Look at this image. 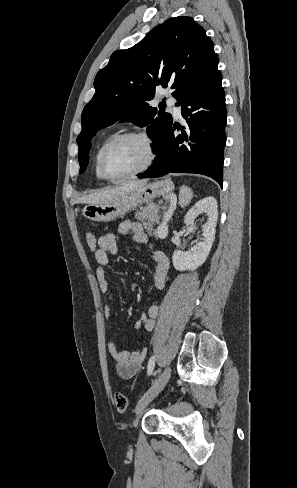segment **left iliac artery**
Wrapping results in <instances>:
<instances>
[{
  "mask_svg": "<svg viewBox=\"0 0 297 488\" xmlns=\"http://www.w3.org/2000/svg\"><path fill=\"white\" fill-rule=\"evenodd\" d=\"M154 367H155V357L151 356L149 359V362H148V366H147L148 375H150L153 372Z\"/></svg>",
  "mask_w": 297,
  "mask_h": 488,
  "instance_id": "obj_1",
  "label": "left iliac artery"
}]
</instances>
